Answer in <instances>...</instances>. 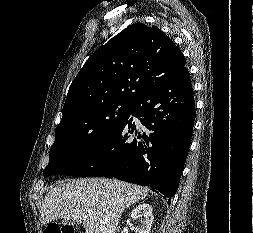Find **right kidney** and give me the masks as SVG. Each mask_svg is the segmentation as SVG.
<instances>
[{"mask_svg":"<svg viewBox=\"0 0 253 233\" xmlns=\"http://www.w3.org/2000/svg\"><path fill=\"white\" fill-rule=\"evenodd\" d=\"M142 218V225L137 228V233H150L151 225L153 222L152 207L147 204H139L131 212V218Z\"/></svg>","mask_w":253,"mask_h":233,"instance_id":"1","label":"right kidney"}]
</instances>
